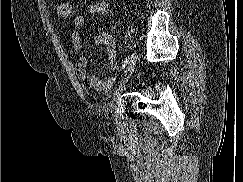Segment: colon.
<instances>
[{
	"instance_id": "obj_1",
	"label": "colon",
	"mask_w": 243,
	"mask_h": 182,
	"mask_svg": "<svg viewBox=\"0 0 243 182\" xmlns=\"http://www.w3.org/2000/svg\"><path fill=\"white\" fill-rule=\"evenodd\" d=\"M56 13L61 18H69L73 13V8L68 2H60L55 5Z\"/></svg>"
}]
</instances>
